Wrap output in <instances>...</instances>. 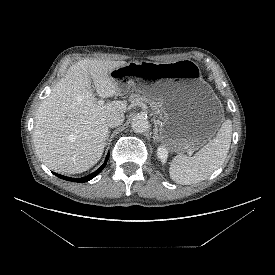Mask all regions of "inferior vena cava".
<instances>
[{
  "mask_svg": "<svg viewBox=\"0 0 275 275\" xmlns=\"http://www.w3.org/2000/svg\"><path fill=\"white\" fill-rule=\"evenodd\" d=\"M124 121V114L120 112H114L107 116L106 125L110 128H115L121 125Z\"/></svg>",
  "mask_w": 275,
  "mask_h": 275,
  "instance_id": "obj_1",
  "label": "inferior vena cava"
}]
</instances>
